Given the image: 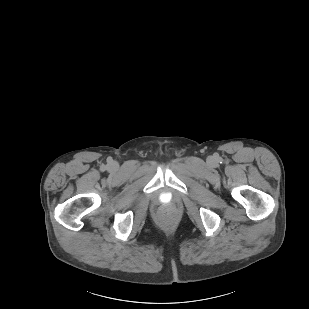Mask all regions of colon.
I'll return each mask as SVG.
<instances>
[{
  "label": "colon",
  "mask_w": 309,
  "mask_h": 309,
  "mask_svg": "<svg viewBox=\"0 0 309 309\" xmlns=\"http://www.w3.org/2000/svg\"><path fill=\"white\" fill-rule=\"evenodd\" d=\"M163 216H164L165 218H167V217H169V214H168L167 212H165V213H163Z\"/></svg>",
  "instance_id": "colon-1"
}]
</instances>
